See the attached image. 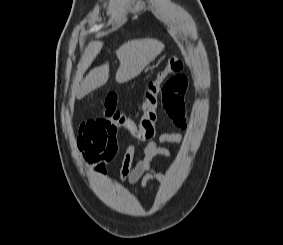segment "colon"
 Returning a JSON list of instances; mask_svg holds the SVG:
<instances>
[{
	"instance_id": "1",
	"label": "colon",
	"mask_w": 283,
	"mask_h": 245,
	"mask_svg": "<svg viewBox=\"0 0 283 245\" xmlns=\"http://www.w3.org/2000/svg\"><path fill=\"white\" fill-rule=\"evenodd\" d=\"M183 62L178 57H172L165 68L151 80L145 90L143 113L138 121L133 120L117 108V96L109 94L103 105L100 119L109 123L115 129L130 134L137 140H150L157 131L158 110L161 106V93L165 80L169 75L179 73Z\"/></svg>"
}]
</instances>
